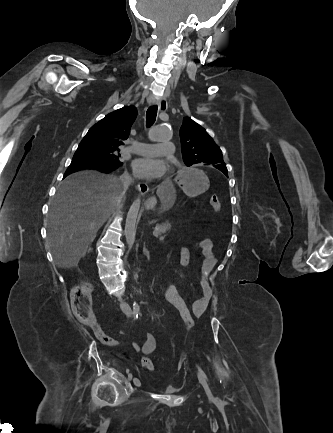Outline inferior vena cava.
I'll return each mask as SVG.
<instances>
[{"instance_id":"1","label":"inferior vena cava","mask_w":333,"mask_h":433,"mask_svg":"<svg viewBox=\"0 0 333 433\" xmlns=\"http://www.w3.org/2000/svg\"><path fill=\"white\" fill-rule=\"evenodd\" d=\"M118 180L120 182V186L122 189V198H123L129 186L133 183V179L127 172H125L122 176H120ZM122 310L124 314L127 316V318H130L132 316V310L128 305L123 306Z\"/></svg>"}]
</instances>
